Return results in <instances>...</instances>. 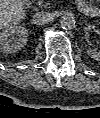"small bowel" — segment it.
<instances>
[{
  "label": "small bowel",
  "mask_w": 100,
  "mask_h": 118,
  "mask_svg": "<svg viewBox=\"0 0 100 118\" xmlns=\"http://www.w3.org/2000/svg\"><path fill=\"white\" fill-rule=\"evenodd\" d=\"M77 6L83 12L87 13L93 12L92 6L88 4V2H86L85 0H77Z\"/></svg>",
  "instance_id": "c3829d8e"
}]
</instances>
